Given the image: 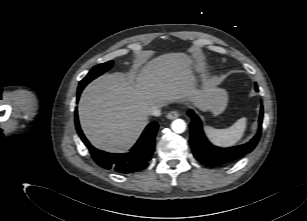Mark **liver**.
<instances>
[{"label": "liver", "mask_w": 307, "mask_h": 221, "mask_svg": "<svg viewBox=\"0 0 307 221\" xmlns=\"http://www.w3.org/2000/svg\"><path fill=\"white\" fill-rule=\"evenodd\" d=\"M191 62L184 53H167L147 62L135 75L104 74L87 85L78 114L91 144L108 152L126 151L148 124L155 105L186 99L209 110L217 83L206 80L197 89Z\"/></svg>", "instance_id": "1"}]
</instances>
